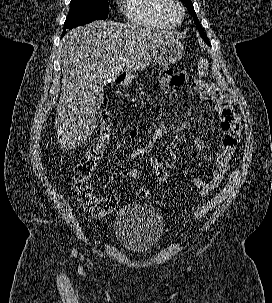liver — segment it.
<instances>
[{"label": "liver", "mask_w": 272, "mask_h": 303, "mask_svg": "<svg viewBox=\"0 0 272 303\" xmlns=\"http://www.w3.org/2000/svg\"><path fill=\"white\" fill-rule=\"evenodd\" d=\"M170 37L169 32L114 21H94L64 36L62 92L54 123L62 148L74 149L93 134L104 82L114 80L124 67L147 68L159 44Z\"/></svg>", "instance_id": "6515ba94"}]
</instances>
